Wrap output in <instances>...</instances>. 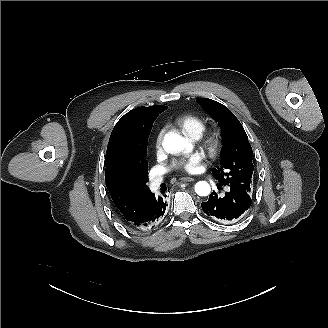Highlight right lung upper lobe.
Returning a JSON list of instances; mask_svg holds the SVG:
<instances>
[{"label": "right lung upper lobe", "mask_w": 328, "mask_h": 328, "mask_svg": "<svg viewBox=\"0 0 328 328\" xmlns=\"http://www.w3.org/2000/svg\"><path fill=\"white\" fill-rule=\"evenodd\" d=\"M167 106L139 107L126 113L115 125L106 152L105 180L120 218L134 223L147 204L151 191L129 172L123 157V136L128 124L145 112L162 113Z\"/></svg>", "instance_id": "1"}]
</instances>
